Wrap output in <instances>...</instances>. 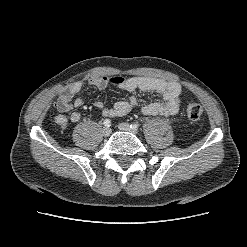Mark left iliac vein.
Returning a JSON list of instances; mask_svg holds the SVG:
<instances>
[{
	"label": "left iliac vein",
	"mask_w": 247,
	"mask_h": 247,
	"mask_svg": "<svg viewBox=\"0 0 247 247\" xmlns=\"http://www.w3.org/2000/svg\"><path fill=\"white\" fill-rule=\"evenodd\" d=\"M118 128H119L121 131H126V132H130V133H133V134H137V133H138L137 130L132 129V128L130 127V125H129L128 123H125V122L120 123L119 126H118Z\"/></svg>",
	"instance_id": "1"
}]
</instances>
